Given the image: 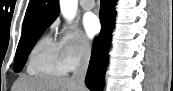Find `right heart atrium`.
<instances>
[{"label": "right heart atrium", "mask_w": 173, "mask_h": 91, "mask_svg": "<svg viewBox=\"0 0 173 91\" xmlns=\"http://www.w3.org/2000/svg\"><path fill=\"white\" fill-rule=\"evenodd\" d=\"M60 57L67 71H73L90 56L91 43L79 30L63 26L57 30Z\"/></svg>", "instance_id": "right-heart-atrium-1"}]
</instances>
